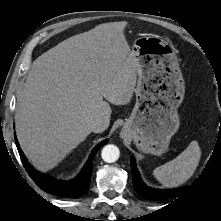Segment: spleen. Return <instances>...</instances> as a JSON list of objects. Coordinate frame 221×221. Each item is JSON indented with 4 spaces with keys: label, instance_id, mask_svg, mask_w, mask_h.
Here are the masks:
<instances>
[{
    "label": "spleen",
    "instance_id": "spleen-1",
    "mask_svg": "<svg viewBox=\"0 0 221 221\" xmlns=\"http://www.w3.org/2000/svg\"><path fill=\"white\" fill-rule=\"evenodd\" d=\"M200 158L201 150L198 142L192 141L175 159L155 168L153 175L165 187H177L191 178Z\"/></svg>",
    "mask_w": 221,
    "mask_h": 221
}]
</instances>
